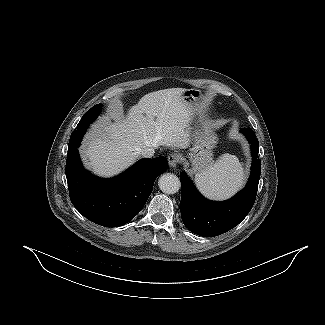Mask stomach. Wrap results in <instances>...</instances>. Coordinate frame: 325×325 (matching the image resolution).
Returning <instances> with one entry per match:
<instances>
[{
    "mask_svg": "<svg viewBox=\"0 0 325 325\" xmlns=\"http://www.w3.org/2000/svg\"><path fill=\"white\" fill-rule=\"evenodd\" d=\"M182 98L190 103L195 110L199 107L201 94L196 89H187ZM192 146L189 148L188 158L191 162L192 172H200L212 164L213 148L217 144L216 134L209 128H200L192 135Z\"/></svg>",
    "mask_w": 325,
    "mask_h": 325,
    "instance_id": "stomach-1",
    "label": "stomach"
}]
</instances>
